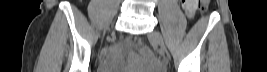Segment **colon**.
<instances>
[{
    "label": "colon",
    "mask_w": 267,
    "mask_h": 72,
    "mask_svg": "<svg viewBox=\"0 0 267 72\" xmlns=\"http://www.w3.org/2000/svg\"><path fill=\"white\" fill-rule=\"evenodd\" d=\"M196 2H197V8L201 11H205L210 3V0H198Z\"/></svg>",
    "instance_id": "obj_1"
}]
</instances>
